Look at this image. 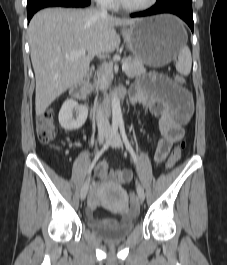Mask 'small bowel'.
<instances>
[{"mask_svg":"<svg viewBox=\"0 0 227 265\" xmlns=\"http://www.w3.org/2000/svg\"><path fill=\"white\" fill-rule=\"evenodd\" d=\"M145 76L133 86L131 101L159 120L161 138L154 155V161L159 164L166 159L174 142L184 137V125L193 114V102L190 93L166 75L147 72ZM97 172L100 177L116 185L132 180L130 170H111L106 163H102ZM97 203L98 192L95 188L89 198L90 208L93 209Z\"/></svg>","mask_w":227,"mask_h":265,"instance_id":"small-bowel-1","label":"small bowel"}]
</instances>
